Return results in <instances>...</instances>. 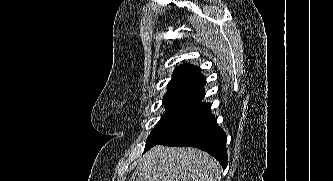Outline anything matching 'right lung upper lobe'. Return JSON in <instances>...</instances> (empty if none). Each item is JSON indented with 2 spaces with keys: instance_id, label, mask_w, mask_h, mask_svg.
<instances>
[{
  "instance_id": "right-lung-upper-lobe-1",
  "label": "right lung upper lobe",
  "mask_w": 333,
  "mask_h": 181,
  "mask_svg": "<svg viewBox=\"0 0 333 181\" xmlns=\"http://www.w3.org/2000/svg\"><path fill=\"white\" fill-rule=\"evenodd\" d=\"M200 71V67L190 64L176 68L168 84V91L163 98L165 107L210 111L211 105L201 102L205 96L203 86L206 80Z\"/></svg>"
}]
</instances>
